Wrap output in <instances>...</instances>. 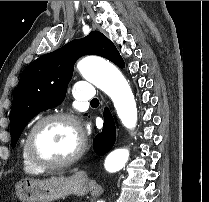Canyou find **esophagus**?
<instances>
[{"mask_svg":"<svg viewBox=\"0 0 209 202\" xmlns=\"http://www.w3.org/2000/svg\"><path fill=\"white\" fill-rule=\"evenodd\" d=\"M78 174H79V176H81V177H84V178L87 177V174H86L85 171H80Z\"/></svg>","mask_w":209,"mask_h":202,"instance_id":"34e87169","label":"esophagus"}]
</instances>
